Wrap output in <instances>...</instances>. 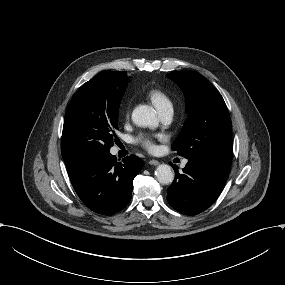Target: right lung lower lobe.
Instances as JSON below:
<instances>
[{
  "label": "right lung lower lobe",
  "mask_w": 285,
  "mask_h": 285,
  "mask_svg": "<svg viewBox=\"0 0 285 285\" xmlns=\"http://www.w3.org/2000/svg\"><path fill=\"white\" fill-rule=\"evenodd\" d=\"M142 167L143 161L135 155L127 156L120 163L109 153L85 161L69 177L77 195L90 210L112 215L130 202L133 179Z\"/></svg>",
  "instance_id": "obj_1"
}]
</instances>
